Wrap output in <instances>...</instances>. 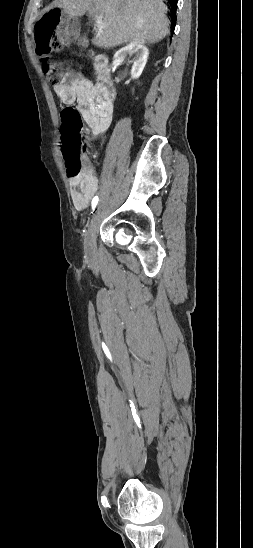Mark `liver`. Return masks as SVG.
Wrapping results in <instances>:
<instances>
[{
	"label": "liver",
	"instance_id": "liver-1",
	"mask_svg": "<svg viewBox=\"0 0 253 548\" xmlns=\"http://www.w3.org/2000/svg\"><path fill=\"white\" fill-rule=\"evenodd\" d=\"M60 8L70 18L86 12L102 16L104 27L92 40L101 48L125 43H155L169 33L166 5L162 0H54L49 9Z\"/></svg>",
	"mask_w": 253,
	"mask_h": 548
}]
</instances>
